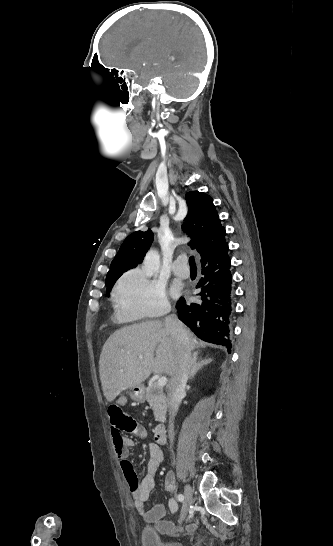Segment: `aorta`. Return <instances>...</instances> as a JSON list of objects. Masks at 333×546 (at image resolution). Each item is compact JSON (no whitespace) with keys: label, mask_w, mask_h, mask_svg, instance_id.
<instances>
[{"label":"aorta","mask_w":333,"mask_h":546,"mask_svg":"<svg viewBox=\"0 0 333 546\" xmlns=\"http://www.w3.org/2000/svg\"><path fill=\"white\" fill-rule=\"evenodd\" d=\"M160 267V256L156 250L151 249L143 261V270L147 276L156 274Z\"/></svg>","instance_id":"obj_1"}]
</instances>
